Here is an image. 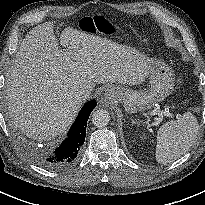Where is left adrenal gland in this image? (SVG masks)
Here are the masks:
<instances>
[{"instance_id": "a2214340", "label": "left adrenal gland", "mask_w": 205, "mask_h": 205, "mask_svg": "<svg viewBox=\"0 0 205 205\" xmlns=\"http://www.w3.org/2000/svg\"><path fill=\"white\" fill-rule=\"evenodd\" d=\"M131 121H132V124H136V123L139 124V122H137L136 120H134L132 118H131Z\"/></svg>"}]
</instances>
